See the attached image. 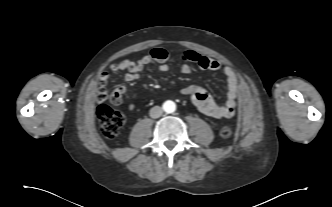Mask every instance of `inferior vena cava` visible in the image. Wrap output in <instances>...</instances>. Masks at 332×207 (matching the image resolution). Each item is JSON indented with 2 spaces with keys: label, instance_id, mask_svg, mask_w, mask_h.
Masks as SVG:
<instances>
[{
  "label": "inferior vena cava",
  "instance_id": "inferior-vena-cava-1",
  "mask_svg": "<svg viewBox=\"0 0 332 207\" xmlns=\"http://www.w3.org/2000/svg\"><path fill=\"white\" fill-rule=\"evenodd\" d=\"M163 114V110L159 106H154L153 108L150 109V117L152 118H159Z\"/></svg>",
  "mask_w": 332,
  "mask_h": 207
}]
</instances>
